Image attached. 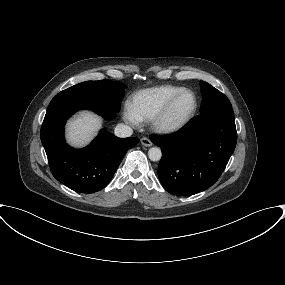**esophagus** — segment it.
<instances>
[{"instance_id":"1","label":"esophagus","mask_w":285,"mask_h":285,"mask_svg":"<svg viewBox=\"0 0 285 285\" xmlns=\"http://www.w3.org/2000/svg\"><path fill=\"white\" fill-rule=\"evenodd\" d=\"M140 141H141V144L146 146V147L152 146L151 140L147 137H143Z\"/></svg>"}]
</instances>
